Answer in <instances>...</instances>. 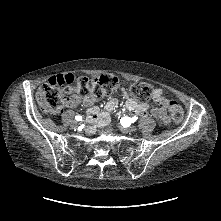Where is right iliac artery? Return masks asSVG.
Here are the masks:
<instances>
[{
    "instance_id": "obj_1",
    "label": "right iliac artery",
    "mask_w": 221,
    "mask_h": 221,
    "mask_svg": "<svg viewBox=\"0 0 221 221\" xmlns=\"http://www.w3.org/2000/svg\"><path fill=\"white\" fill-rule=\"evenodd\" d=\"M75 119H76L77 121H81V120H82V117H81V116H75Z\"/></svg>"
}]
</instances>
